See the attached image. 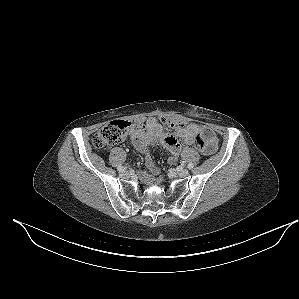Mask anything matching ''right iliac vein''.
<instances>
[{
  "instance_id": "1",
  "label": "right iliac vein",
  "mask_w": 299,
  "mask_h": 299,
  "mask_svg": "<svg viewBox=\"0 0 299 299\" xmlns=\"http://www.w3.org/2000/svg\"><path fill=\"white\" fill-rule=\"evenodd\" d=\"M120 176H121L122 178H128V177L130 176V174H129L128 172H122V173L120 174Z\"/></svg>"
}]
</instances>
